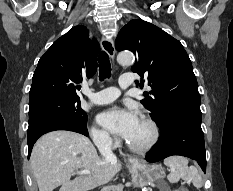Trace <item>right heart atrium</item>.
<instances>
[{"mask_svg": "<svg viewBox=\"0 0 233 191\" xmlns=\"http://www.w3.org/2000/svg\"><path fill=\"white\" fill-rule=\"evenodd\" d=\"M92 139L99 150L105 151L114 148L117 144L115 138H113L106 131L97 127L91 128Z\"/></svg>", "mask_w": 233, "mask_h": 191, "instance_id": "1", "label": "right heart atrium"}]
</instances>
